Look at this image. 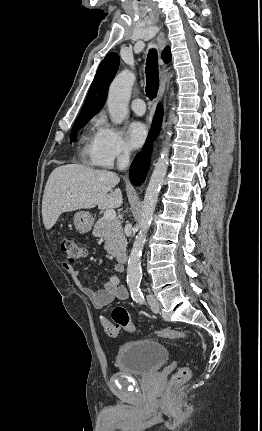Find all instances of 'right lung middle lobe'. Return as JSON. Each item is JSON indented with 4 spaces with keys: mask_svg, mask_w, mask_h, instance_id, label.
<instances>
[{
    "mask_svg": "<svg viewBox=\"0 0 262 431\" xmlns=\"http://www.w3.org/2000/svg\"><path fill=\"white\" fill-rule=\"evenodd\" d=\"M90 119L91 118H88V117L77 118V120H76V122L72 128V133L70 134V138L75 141V139H76V133L75 132L78 131L79 129H81L82 127H84Z\"/></svg>",
    "mask_w": 262,
    "mask_h": 431,
    "instance_id": "obj_1",
    "label": "right lung middle lobe"
}]
</instances>
